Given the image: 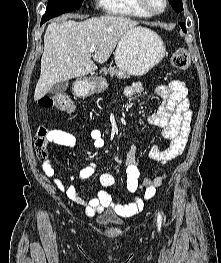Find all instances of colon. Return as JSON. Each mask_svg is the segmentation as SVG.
<instances>
[{"label":"colon","instance_id":"1","mask_svg":"<svg viewBox=\"0 0 221 263\" xmlns=\"http://www.w3.org/2000/svg\"><path fill=\"white\" fill-rule=\"evenodd\" d=\"M172 65L180 70H187L190 68L189 54L184 49L175 50L171 56ZM38 104L44 108H55L61 112L72 114L75 110V106L68 95L56 94V95H45L38 100ZM46 130L39 128L37 138L35 141V147L37 154L40 158L44 159L48 153V141L45 137ZM154 180L148 178L145 181V186L149 187L153 184Z\"/></svg>","mask_w":221,"mask_h":263}]
</instances>
